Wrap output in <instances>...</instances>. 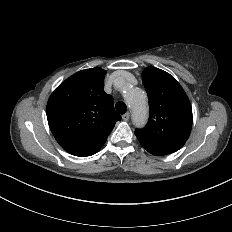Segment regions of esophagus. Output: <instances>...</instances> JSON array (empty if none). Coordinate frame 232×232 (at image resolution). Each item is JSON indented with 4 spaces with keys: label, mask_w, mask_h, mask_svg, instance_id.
<instances>
[{
    "label": "esophagus",
    "mask_w": 232,
    "mask_h": 232,
    "mask_svg": "<svg viewBox=\"0 0 232 232\" xmlns=\"http://www.w3.org/2000/svg\"><path fill=\"white\" fill-rule=\"evenodd\" d=\"M129 117H130V113L129 112H126L123 116H122V119L124 121H128L129 120Z\"/></svg>",
    "instance_id": "1"
}]
</instances>
